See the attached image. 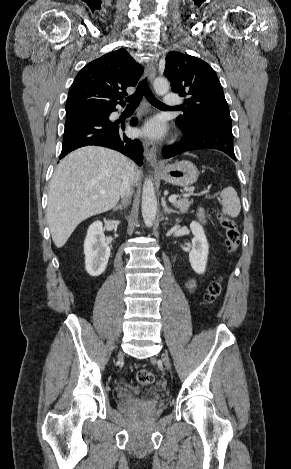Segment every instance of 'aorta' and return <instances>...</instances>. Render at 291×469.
<instances>
[{"instance_id": "1", "label": "aorta", "mask_w": 291, "mask_h": 469, "mask_svg": "<svg viewBox=\"0 0 291 469\" xmlns=\"http://www.w3.org/2000/svg\"><path fill=\"white\" fill-rule=\"evenodd\" d=\"M154 90L157 95H165L169 91V83L165 78L158 77L154 81ZM157 200L155 188L151 178H146L142 191V216L146 226L151 227L155 221Z\"/></svg>"}]
</instances>
